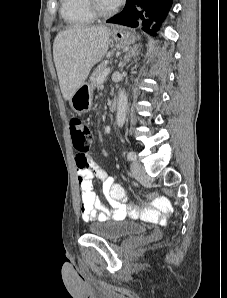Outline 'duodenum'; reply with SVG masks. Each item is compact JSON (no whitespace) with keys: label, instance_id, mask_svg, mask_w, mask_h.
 <instances>
[{"label":"duodenum","instance_id":"1","mask_svg":"<svg viewBox=\"0 0 227 298\" xmlns=\"http://www.w3.org/2000/svg\"><path fill=\"white\" fill-rule=\"evenodd\" d=\"M109 109H110V112H115L116 109H117V101L116 100H112L109 104Z\"/></svg>","mask_w":227,"mask_h":298}]
</instances>
